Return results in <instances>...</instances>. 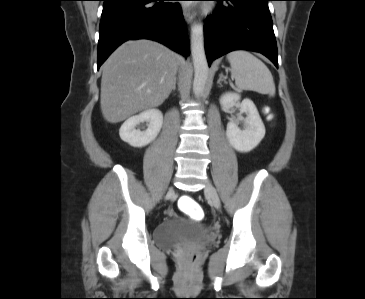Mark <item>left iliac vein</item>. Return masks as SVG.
<instances>
[{"label":"left iliac vein","instance_id":"4c4485c4","mask_svg":"<svg viewBox=\"0 0 365 299\" xmlns=\"http://www.w3.org/2000/svg\"><path fill=\"white\" fill-rule=\"evenodd\" d=\"M205 192L211 199L214 207L216 209H220L221 203H220L219 196L217 194L216 189L213 187V185L210 182H207L206 187H205Z\"/></svg>","mask_w":365,"mask_h":299}]
</instances>
